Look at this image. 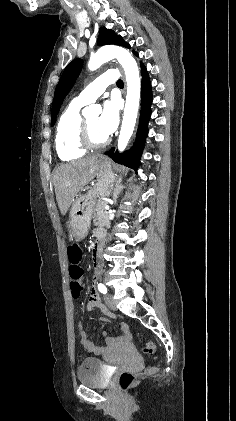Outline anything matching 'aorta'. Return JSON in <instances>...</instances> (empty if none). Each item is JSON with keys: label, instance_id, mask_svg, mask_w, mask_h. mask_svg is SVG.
<instances>
[{"label": "aorta", "instance_id": "762f6f07", "mask_svg": "<svg viewBox=\"0 0 236 421\" xmlns=\"http://www.w3.org/2000/svg\"><path fill=\"white\" fill-rule=\"evenodd\" d=\"M111 58H117L122 64L127 82V94L124 108V116L122 126L118 138L119 150H124L128 144L130 136L133 134L137 112L139 108L141 80L139 74L138 64L133 58L132 54L122 48V46H114V44H107L101 46L97 52L91 54L88 62L89 70H96L104 62H108Z\"/></svg>", "mask_w": 236, "mask_h": 421}]
</instances>
